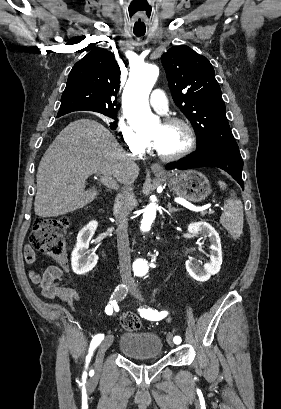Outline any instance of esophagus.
I'll use <instances>...</instances> for the list:
<instances>
[{
    "label": "esophagus",
    "mask_w": 281,
    "mask_h": 409,
    "mask_svg": "<svg viewBox=\"0 0 281 409\" xmlns=\"http://www.w3.org/2000/svg\"><path fill=\"white\" fill-rule=\"evenodd\" d=\"M151 170H152V172H154L156 174H161L163 172V167H161V165L155 163V164L151 165Z\"/></svg>",
    "instance_id": "1"
}]
</instances>
